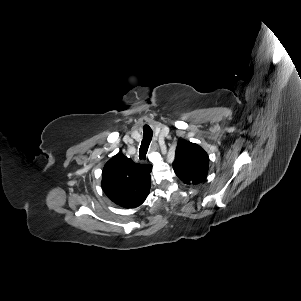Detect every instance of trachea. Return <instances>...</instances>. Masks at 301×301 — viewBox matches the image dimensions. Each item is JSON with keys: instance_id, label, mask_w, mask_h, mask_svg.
Returning <instances> with one entry per match:
<instances>
[{"instance_id": "trachea-1", "label": "trachea", "mask_w": 301, "mask_h": 301, "mask_svg": "<svg viewBox=\"0 0 301 301\" xmlns=\"http://www.w3.org/2000/svg\"><path fill=\"white\" fill-rule=\"evenodd\" d=\"M144 136H143V140L139 149V158L141 160H145L146 159V154L148 151V147L149 144L151 142L152 136H153V132L151 130V128L149 126H144Z\"/></svg>"}]
</instances>
